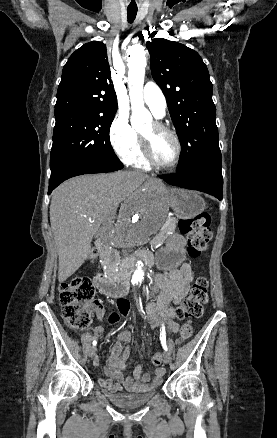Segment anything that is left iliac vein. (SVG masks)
<instances>
[{
	"label": "left iliac vein",
	"mask_w": 277,
	"mask_h": 438,
	"mask_svg": "<svg viewBox=\"0 0 277 438\" xmlns=\"http://www.w3.org/2000/svg\"><path fill=\"white\" fill-rule=\"evenodd\" d=\"M170 354L168 352H163V362L168 364L170 362Z\"/></svg>",
	"instance_id": "4c4485c4"
}]
</instances>
